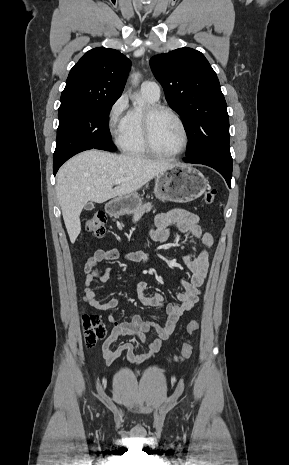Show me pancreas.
<instances>
[{
    "label": "pancreas",
    "instance_id": "obj_1",
    "mask_svg": "<svg viewBox=\"0 0 289 465\" xmlns=\"http://www.w3.org/2000/svg\"><path fill=\"white\" fill-rule=\"evenodd\" d=\"M152 204L151 203H145L143 205H141L135 212H134V215H133V222H137L138 220H140V218L143 216V214L145 212H149L151 209H152Z\"/></svg>",
    "mask_w": 289,
    "mask_h": 465
}]
</instances>
